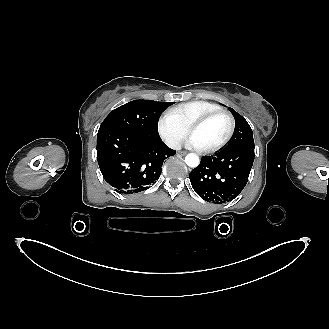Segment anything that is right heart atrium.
<instances>
[{
	"mask_svg": "<svg viewBox=\"0 0 329 329\" xmlns=\"http://www.w3.org/2000/svg\"><path fill=\"white\" fill-rule=\"evenodd\" d=\"M156 127L160 138L170 148H177L187 134V128L170 111L159 117Z\"/></svg>",
	"mask_w": 329,
	"mask_h": 329,
	"instance_id": "d8ad5b80",
	"label": "right heart atrium"
}]
</instances>
